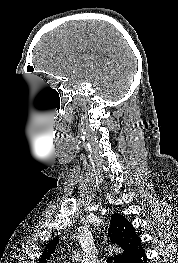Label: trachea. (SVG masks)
I'll use <instances>...</instances> for the list:
<instances>
[{
	"label": "trachea",
	"mask_w": 178,
	"mask_h": 263,
	"mask_svg": "<svg viewBox=\"0 0 178 263\" xmlns=\"http://www.w3.org/2000/svg\"><path fill=\"white\" fill-rule=\"evenodd\" d=\"M113 261V256H109L106 260L107 263H112Z\"/></svg>",
	"instance_id": "1"
}]
</instances>
